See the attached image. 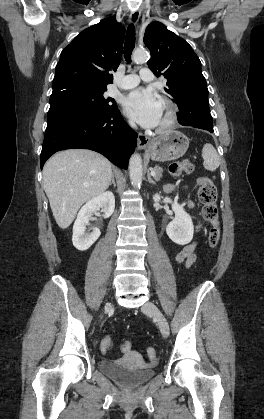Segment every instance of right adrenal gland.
Listing matches in <instances>:
<instances>
[{
	"mask_svg": "<svg viewBox=\"0 0 264 419\" xmlns=\"http://www.w3.org/2000/svg\"><path fill=\"white\" fill-rule=\"evenodd\" d=\"M112 184H113L114 187H116L115 179H114V173H112V179H111V183L109 185L111 186Z\"/></svg>",
	"mask_w": 264,
	"mask_h": 419,
	"instance_id": "1",
	"label": "right adrenal gland"
}]
</instances>
